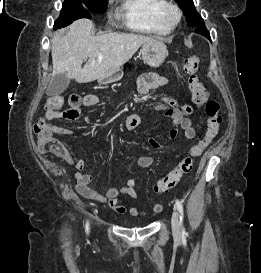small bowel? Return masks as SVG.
<instances>
[{
  "label": "small bowel",
  "mask_w": 261,
  "mask_h": 273,
  "mask_svg": "<svg viewBox=\"0 0 261 273\" xmlns=\"http://www.w3.org/2000/svg\"><path fill=\"white\" fill-rule=\"evenodd\" d=\"M165 84H167L166 78L155 73H146L140 77L138 88L140 93L148 94L153 89ZM97 104L98 98L94 95H86L83 99V105L86 107H93ZM155 109L161 111L163 116L172 120L173 128L169 133L171 141L176 138L179 130L183 131L185 139L193 140L195 138L196 131L188 117L192 111L190 106L179 105L174 99L164 97L162 102L155 106ZM45 117L50 121L64 119L63 111L58 109H50L46 111ZM139 123L140 118L138 115L131 114L125 118V127L128 130L136 128ZM47 125L48 129L52 133H57L64 136H70L73 134V132L68 128L57 126L49 122H47ZM148 144L155 150H169L171 148V144H161L153 137H148ZM61 155L67 164L72 165L77 170V172L74 173V177L76 179V189L79 194L87 199L107 203L115 212L125 213L126 207L123 205L121 195H128L135 199L138 198L136 192V181L134 179L127 180L126 185L121 188L109 187L105 190L104 194L99 193L97 190L89 186L90 182L92 181V176L82 172V170L85 168V161L83 159H74L70 150L65 145H62ZM136 164L141 168L149 169L153 165V159L148 156H139L136 158ZM153 211L156 213L161 212L162 206L160 204H155L153 206ZM129 212L134 216L143 214V212L137 207H131Z\"/></svg>",
  "instance_id": "small-bowel-1"
}]
</instances>
